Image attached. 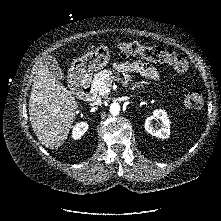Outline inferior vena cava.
Returning <instances> with one entry per match:
<instances>
[{"instance_id":"602c4592","label":"inferior vena cava","mask_w":221,"mask_h":221,"mask_svg":"<svg viewBox=\"0 0 221 221\" xmlns=\"http://www.w3.org/2000/svg\"><path fill=\"white\" fill-rule=\"evenodd\" d=\"M97 103H98V104H101V99H98V100H97Z\"/></svg>"}]
</instances>
